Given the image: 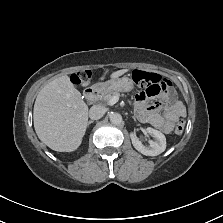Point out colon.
<instances>
[{
  "instance_id": "obj_1",
  "label": "colon",
  "mask_w": 223,
  "mask_h": 223,
  "mask_svg": "<svg viewBox=\"0 0 223 223\" xmlns=\"http://www.w3.org/2000/svg\"><path fill=\"white\" fill-rule=\"evenodd\" d=\"M89 78L90 73L88 71L78 72L71 76V80L74 83H81L83 81H87ZM132 79L136 84L146 88H152L157 85H163V83L165 82V79H163L160 75L156 73L144 72L140 70H135L132 73ZM184 127L185 120L182 116H179L176 121L174 132L176 134H181L184 130Z\"/></svg>"
}]
</instances>
